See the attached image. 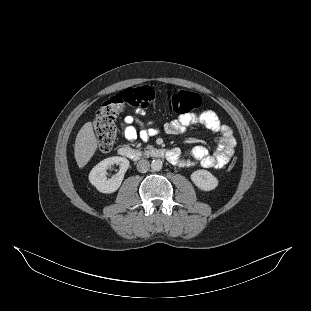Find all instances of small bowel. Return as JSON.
<instances>
[{
	"mask_svg": "<svg viewBox=\"0 0 311 311\" xmlns=\"http://www.w3.org/2000/svg\"><path fill=\"white\" fill-rule=\"evenodd\" d=\"M138 113L144 115L142 111H138ZM194 124L202 125L210 131L219 134L220 137L215 151L210 153L206 147L197 145L192 148L189 156L185 157L179 149H172L171 151L174 155L172 163L185 168H191L196 165L209 169L223 168L234 154L236 139L232 129L222 123L215 112L207 110L180 115L178 118L168 122L164 126V130L169 134H179L188 126ZM121 125L122 137L128 141H134L137 137L147 140L160 132L158 128L151 126V124L145 125L132 114L126 115Z\"/></svg>",
	"mask_w": 311,
	"mask_h": 311,
	"instance_id": "c3829d8e",
	"label": "small bowel"
}]
</instances>
